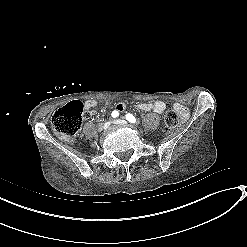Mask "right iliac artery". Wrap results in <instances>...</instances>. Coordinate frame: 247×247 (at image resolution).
<instances>
[{"label":"right iliac artery","instance_id":"1","mask_svg":"<svg viewBox=\"0 0 247 247\" xmlns=\"http://www.w3.org/2000/svg\"><path fill=\"white\" fill-rule=\"evenodd\" d=\"M111 115L113 118H116V117H118L119 113H118V111H113Z\"/></svg>","mask_w":247,"mask_h":247}]
</instances>
